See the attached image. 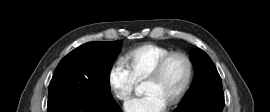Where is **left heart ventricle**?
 <instances>
[{
    "label": "left heart ventricle",
    "instance_id": "b2bd125f",
    "mask_svg": "<svg viewBox=\"0 0 270 112\" xmlns=\"http://www.w3.org/2000/svg\"><path fill=\"white\" fill-rule=\"evenodd\" d=\"M186 77V62L180 57H175L169 61L159 79L145 81L144 92L155 93L168 103L179 93Z\"/></svg>",
    "mask_w": 270,
    "mask_h": 112
}]
</instances>
